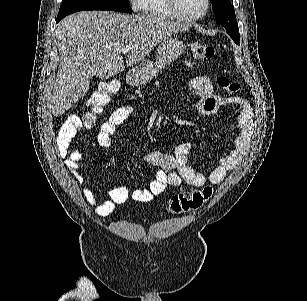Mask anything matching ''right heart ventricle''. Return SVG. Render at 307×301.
<instances>
[{"label":"right heart ventricle","instance_id":"obj_1","mask_svg":"<svg viewBox=\"0 0 307 301\" xmlns=\"http://www.w3.org/2000/svg\"><path fill=\"white\" fill-rule=\"evenodd\" d=\"M164 1L167 0H140L137 1V8H146L151 12V17H172V10H166Z\"/></svg>","mask_w":307,"mask_h":301}]
</instances>
